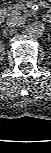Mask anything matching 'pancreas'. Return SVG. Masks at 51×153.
<instances>
[{
  "label": "pancreas",
  "mask_w": 51,
  "mask_h": 153,
  "mask_svg": "<svg viewBox=\"0 0 51 153\" xmlns=\"http://www.w3.org/2000/svg\"><path fill=\"white\" fill-rule=\"evenodd\" d=\"M8 12H9V16L20 15L22 13H24L26 16L29 15L28 10L23 3L15 4L9 7Z\"/></svg>",
  "instance_id": "obj_1"
}]
</instances>
